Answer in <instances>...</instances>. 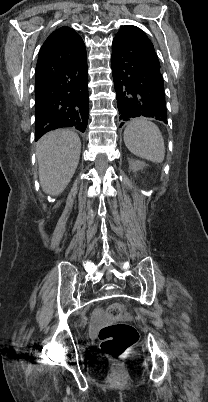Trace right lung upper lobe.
Segmentation results:
<instances>
[{
  "mask_svg": "<svg viewBox=\"0 0 208 402\" xmlns=\"http://www.w3.org/2000/svg\"><path fill=\"white\" fill-rule=\"evenodd\" d=\"M76 34L77 33L72 28L66 26L60 27L46 39V41L41 47V50L54 45H59L69 40L72 36Z\"/></svg>",
  "mask_w": 208,
  "mask_h": 402,
  "instance_id": "cb5924a9",
  "label": "right lung upper lobe"
}]
</instances>
